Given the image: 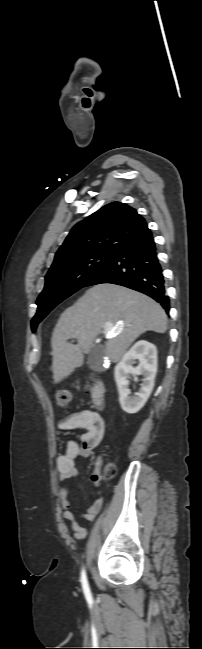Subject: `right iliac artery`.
Wrapping results in <instances>:
<instances>
[{
    "instance_id": "obj_1",
    "label": "right iliac artery",
    "mask_w": 202,
    "mask_h": 649,
    "mask_svg": "<svg viewBox=\"0 0 202 649\" xmlns=\"http://www.w3.org/2000/svg\"><path fill=\"white\" fill-rule=\"evenodd\" d=\"M81 583H82V587H83V591H84L85 596L87 598H90V595H91L90 594V588H89V584H88V581H87L85 569H83L82 572H81Z\"/></svg>"
}]
</instances>
